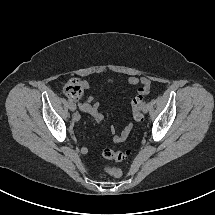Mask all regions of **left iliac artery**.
Here are the masks:
<instances>
[{"label":"left iliac artery","mask_w":215,"mask_h":215,"mask_svg":"<svg viewBox=\"0 0 215 215\" xmlns=\"http://www.w3.org/2000/svg\"><path fill=\"white\" fill-rule=\"evenodd\" d=\"M143 105H144V102H143V101H140L139 104H138V110H139V111H142V110H143Z\"/></svg>","instance_id":"1"}]
</instances>
